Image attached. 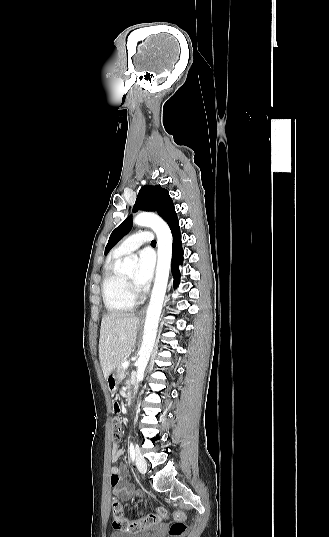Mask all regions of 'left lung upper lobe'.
Masks as SVG:
<instances>
[{"mask_svg":"<svg viewBox=\"0 0 329 537\" xmlns=\"http://www.w3.org/2000/svg\"><path fill=\"white\" fill-rule=\"evenodd\" d=\"M138 210L157 212L167 222L170 229L179 225L173 201L168 191L161 186L145 185L140 189L133 206L134 212ZM131 226V216H129L113 230L105 247V255L125 236Z\"/></svg>","mask_w":329,"mask_h":537,"instance_id":"obj_1","label":"left lung upper lobe"}]
</instances>
